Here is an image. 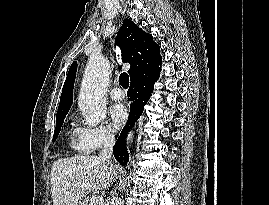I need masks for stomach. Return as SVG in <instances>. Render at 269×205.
<instances>
[{
	"label": "stomach",
	"instance_id": "obj_1",
	"mask_svg": "<svg viewBox=\"0 0 269 205\" xmlns=\"http://www.w3.org/2000/svg\"><path fill=\"white\" fill-rule=\"evenodd\" d=\"M74 205H87V202L85 200H78L74 203Z\"/></svg>",
	"mask_w": 269,
	"mask_h": 205
}]
</instances>
